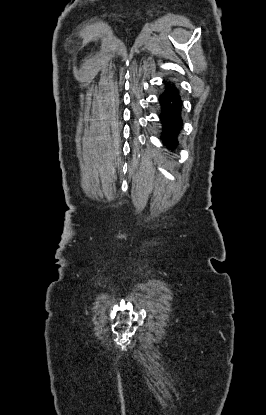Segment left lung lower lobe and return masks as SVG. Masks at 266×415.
Returning a JSON list of instances; mask_svg holds the SVG:
<instances>
[{
    "label": "left lung lower lobe",
    "mask_w": 266,
    "mask_h": 415,
    "mask_svg": "<svg viewBox=\"0 0 266 415\" xmlns=\"http://www.w3.org/2000/svg\"><path fill=\"white\" fill-rule=\"evenodd\" d=\"M165 88L159 97L161 113L159 118L162 124L161 139L168 149L178 146L177 137L182 129V100L180 91L172 82L163 81Z\"/></svg>",
    "instance_id": "left-lung-lower-lobe-1"
}]
</instances>
